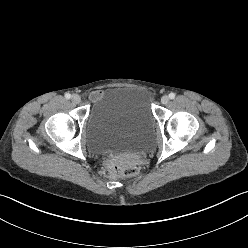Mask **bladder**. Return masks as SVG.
Here are the masks:
<instances>
[{"mask_svg":"<svg viewBox=\"0 0 248 248\" xmlns=\"http://www.w3.org/2000/svg\"><path fill=\"white\" fill-rule=\"evenodd\" d=\"M154 123L145 91L111 88L90 111L88 146L95 153L115 157L141 154L150 145Z\"/></svg>","mask_w":248,"mask_h":248,"instance_id":"obj_1","label":"bladder"}]
</instances>
